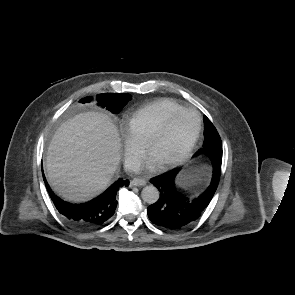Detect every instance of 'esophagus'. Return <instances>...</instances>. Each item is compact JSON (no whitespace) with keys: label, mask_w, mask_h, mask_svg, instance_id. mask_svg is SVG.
I'll return each instance as SVG.
<instances>
[{"label":"esophagus","mask_w":295,"mask_h":295,"mask_svg":"<svg viewBox=\"0 0 295 295\" xmlns=\"http://www.w3.org/2000/svg\"><path fill=\"white\" fill-rule=\"evenodd\" d=\"M130 184L132 186H144L146 184V180L140 178H134Z\"/></svg>","instance_id":"esophagus-1"}]
</instances>
